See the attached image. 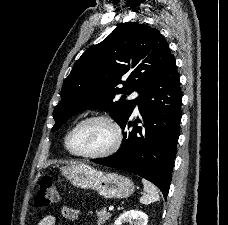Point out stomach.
<instances>
[{"instance_id":"1","label":"stomach","mask_w":228,"mask_h":225,"mask_svg":"<svg viewBox=\"0 0 228 225\" xmlns=\"http://www.w3.org/2000/svg\"><path fill=\"white\" fill-rule=\"evenodd\" d=\"M67 177L79 189H92L105 199H127L134 193V183L117 173L97 171L87 163H75L67 169Z\"/></svg>"}]
</instances>
